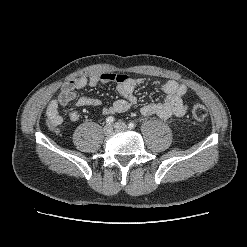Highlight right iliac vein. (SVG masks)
Returning <instances> with one entry per match:
<instances>
[{"instance_id": "1", "label": "right iliac vein", "mask_w": 247, "mask_h": 247, "mask_svg": "<svg viewBox=\"0 0 247 247\" xmlns=\"http://www.w3.org/2000/svg\"><path fill=\"white\" fill-rule=\"evenodd\" d=\"M103 131L105 134H110L112 132V126L109 124L105 125Z\"/></svg>"}]
</instances>
